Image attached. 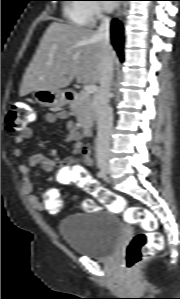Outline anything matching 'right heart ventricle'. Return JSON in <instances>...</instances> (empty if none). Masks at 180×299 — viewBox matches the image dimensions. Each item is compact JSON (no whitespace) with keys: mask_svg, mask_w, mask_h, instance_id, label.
Listing matches in <instances>:
<instances>
[{"mask_svg":"<svg viewBox=\"0 0 180 299\" xmlns=\"http://www.w3.org/2000/svg\"><path fill=\"white\" fill-rule=\"evenodd\" d=\"M86 4H70L66 7V16L69 22L76 26H88L92 19L87 11Z\"/></svg>","mask_w":180,"mask_h":299,"instance_id":"right-heart-ventricle-1","label":"right heart ventricle"}]
</instances>
